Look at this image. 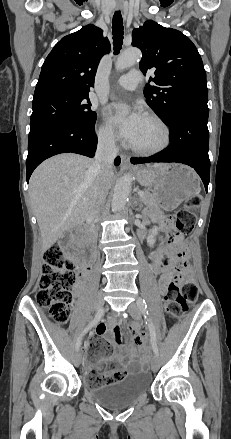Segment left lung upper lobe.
<instances>
[{
	"instance_id": "5c2ea615",
	"label": "left lung upper lobe",
	"mask_w": 231,
	"mask_h": 439,
	"mask_svg": "<svg viewBox=\"0 0 231 439\" xmlns=\"http://www.w3.org/2000/svg\"><path fill=\"white\" fill-rule=\"evenodd\" d=\"M132 45L141 49L139 67L153 73L144 90L147 104L161 120L186 106H207L208 89L202 59L182 32L148 20L134 29Z\"/></svg>"
}]
</instances>
